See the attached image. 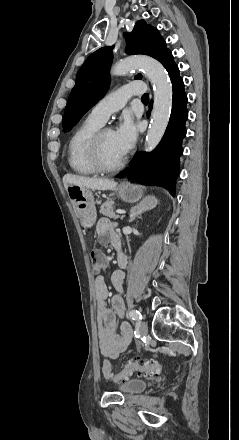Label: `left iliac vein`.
<instances>
[{
    "mask_svg": "<svg viewBox=\"0 0 239 440\" xmlns=\"http://www.w3.org/2000/svg\"><path fill=\"white\" fill-rule=\"evenodd\" d=\"M139 333L141 336H146L148 333V326L145 321H141L139 324Z\"/></svg>",
    "mask_w": 239,
    "mask_h": 440,
    "instance_id": "1",
    "label": "left iliac vein"
}]
</instances>
